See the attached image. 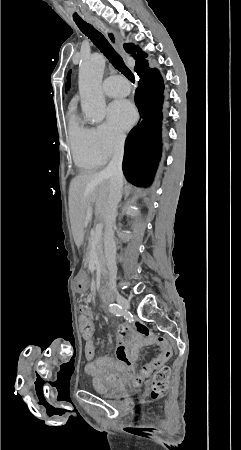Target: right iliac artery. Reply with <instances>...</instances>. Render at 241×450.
I'll return each mask as SVG.
<instances>
[{"label":"right iliac artery","mask_w":241,"mask_h":450,"mask_svg":"<svg viewBox=\"0 0 241 450\" xmlns=\"http://www.w3.org/2000/svg\"><path fill=\"white\" fill-rule=\"evenodd\" d=\"M109 310L115 316H120L122 314V307L118 304H110Z\"/></svg>","instance_id":"obj_1"}]
</instances>
